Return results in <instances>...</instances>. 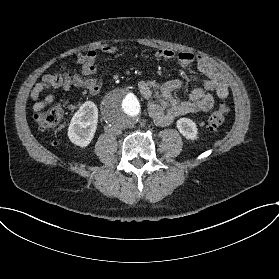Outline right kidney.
Masks as SVG:
<instances>
[{
    "label": "right kidney",
    "mask_w": 279,
    "mask_h": 279,
    "mask_svg": "<svg viewBox=\"0 0 279 279\" xmlns=\"http://www.w3.org/2000/svg\"><path fill=\"white\" fill-rule=\"evenodd\" d=\"M98 123V108L92 101L84 102L74 114L68 127V137L80 147L89 145Z\"/></svg>",
    "instance_id": "right-kidney-1"
}]
</instances>
